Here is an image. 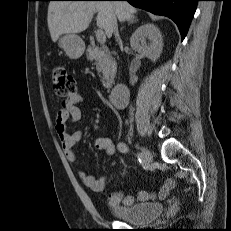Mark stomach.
I'll use <instances>...</instances> for the list:
<instances>
[{"label":"stomach","mask_w":231,"mask_h":231,"mask_svg":"<svg viewBox=\"0 0 231 231\" xmlns=\"http://www.w3.org/2000/svg\"><path fill=\"white\" fill-rule=\"evenodd\" d=\"M58 44L70 59H79L85 50L83 40L76 34L63 35Z\"/></svg>","instance_id":"0dacf381"}]
</instances>
